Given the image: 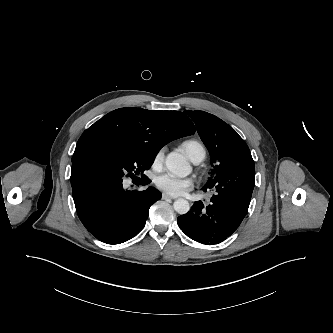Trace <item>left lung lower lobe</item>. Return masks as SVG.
<instances>
[{
	"instance_id": "1",
	"label": "left lung lower lobe",
	"mask_w": 333,
	"mask_h": 333,
	"mask_svg": "<svg viewBox=\"0 0 333 333\" xmlns=\"http://www.w3.org/2000/svg\"><path fill=\"white\" fill-rule=\"evenodd\" d=\"M234 175L236 178H233ZM255 180L251 154L227 164L215 177L216 194L209 206L197 201L177 218L182 231L195 241L214 245L229 237L241 224L250 204ZM210 187V188H212Z\"/></svg>"
}]
</instances>
